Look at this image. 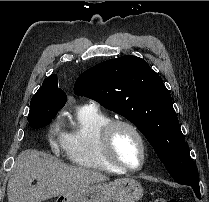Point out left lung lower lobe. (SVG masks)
Returning a JSON list of instances; mask_svg holds the SVG:
<instances>
[{"label":"left lung lower lobe","mask_w":209,"mask_h":202,"mask_svg":"<svg viewBox=\"0 0 209 202\" xmlns=\"http://www.w3.org/2000/svg\"><path fill=\"white\" fill-rule=\"evenodd\" d=\"M192 189L194 190V192H195L197 198L200 199L201 196H200V188H199V186L192 187Z\"/></svg>","instance_id":"1"}]
</instances>
